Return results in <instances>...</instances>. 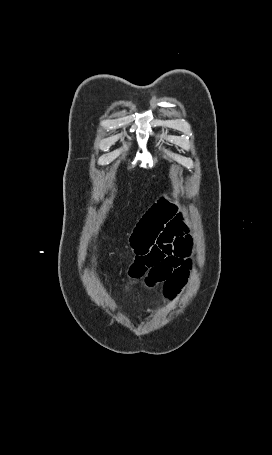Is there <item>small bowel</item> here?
Listing matches in <instances>:
<instances>
[{
	"mask_svg": "<svg viewBox=\"0 0 272 455\" xmlns=\"http://www.w3.org/2000/svg\"><path fill=\"white\" fill-rule=\"evenodd\" d=\"M190 241L175 204L166 199L159 201L133 230L131 247L135 259L130 276L145 277L149 286L162 284L165 295L173 297L187 278Z\"/></svg>",
	"mask_w": 272,
	"mask_h": 455,
	"instance_id": "c3829d8e",
	"label": "small bowel"
}]
</instances>
